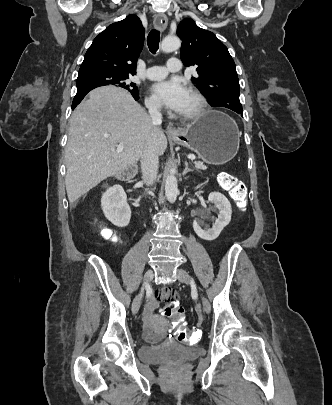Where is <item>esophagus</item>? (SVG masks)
Segmentation results:
<instances>
[{"label":"esophagus","mask_w":332,"mask_h":405,"mask_svg":"<svg viewBox=\"0 0 332 405\" xmlns=\"http://www.w3.org/2000/svg\"><path fill=\"white\" fill-rule=\"evenodd\" d=\"M167 25H168V18L164 13H159L155 16L154 26L157 29L163 31L166 29ZM166 132L169 136H179L180 135V131L172 126H168Z\"/></svg>","instance_id":"1"}]
</instances>
